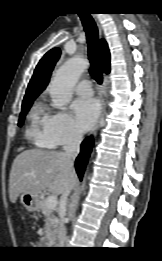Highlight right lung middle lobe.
<instances>
[{
    "instance_id": "dd1d6c3e",
    "label": "right lung middle lobe",
    "mask_w": 162,
    "mask_h": 261,
    "mask_svg": "<svg viewBox=\"0 0 162 261\" xmlns=\"http://www.w3.org/2000/svg\"><path fill=\"white\" fill-rule=\"evenodd\" d=\"M34 99L32 100H27V101H24L22 103V110H21V114H20V117H19V122H18V125L19 126H22L23 125V121H24V118L27 114V112L29 111L32 103H33Z\"/></svg>"
}]
</instances>
